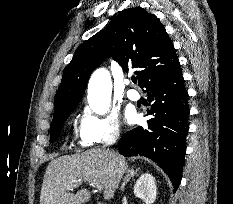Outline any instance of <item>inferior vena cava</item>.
<instances>
[{
  "label": "inferior vena cava",
  "mask_w": 233,
  "mask_h": 204,
  "mask_svg": "<svg viewBox=\"0 0 233 204\" xmlns=\"http://www.w3.org/2000/svg\"><path fill=\"white\" fill-rule=\"evenodd\" d=\"M115 140H116V137H114V138H113V140H112V142H110L109 144H111V143L115 142Z\"/></svg>",
  "instance_id": "602c4592"
}]
</instances>
